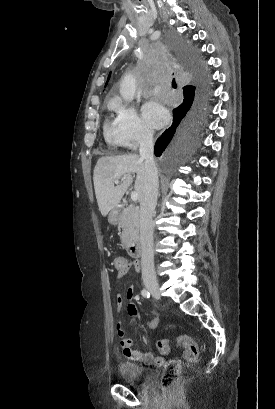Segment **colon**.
I'll list each match as a JSON object with an SVG mask.
<instances>
[{"mask_svg":"<svg viewBox=\"0 0 275 409\" xmlns=\"http://www.w3.org/2000/svg\"><path fill=\"white\" fill-rule=\"evenodd\" d=\"M114 262L117 266L118 273L124 274L127 266L124 257L116 256ZM157 345L161 353H168L174 346L182 347L184 349L183 357L187 362H194L199 356L197 343L184 333L179 334L172 340H159ZM180 375L181 362L176 359L168 361L164 367V372L161 378V385L164 388L173 386L176 382H178Z\"/></svg>","mask_w":275,"mask_h":409,"instance_id":"1","label":"colon"}]
</instances>
